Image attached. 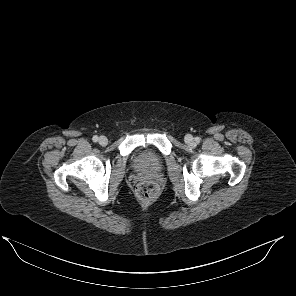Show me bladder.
<instances>
[{"instance_id": "bladder-1", "label": "bladder", "mask_w": 296, "mask_h": 296, "mask_svg": "<svg viewBox=\"0 0 296 296\" xmlns=\"http://www.w3.org/2000/svg\"><path fill=\"white\" fill-rule=\"evenodd\" d=\"M134 168L142 173H156L163 169L164 160L153 148H141L132 157Z\"/></svg>"}]
</instances>
